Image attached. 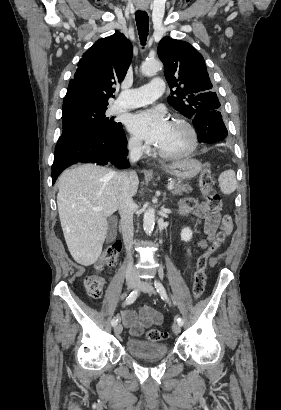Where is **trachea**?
I'll return each mask as SVG.
<instances>
[{"mask_svg": "<svg viewBox=\"0 0 281 410\" xmlns=\"http://www.w3.org/2000/svg\"><path fill=\"white\" fill-rule=\"evenodd\" d=\"M136 25L138 29L139 38L141 44L144 46L146 44V39L149 31V17L145 11H137L135 13Z\"/></svg>", "mask_w": 281, "mask_h": 410, "instance_id": "1", "label": "trachea"}]
</instances>
